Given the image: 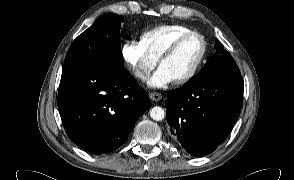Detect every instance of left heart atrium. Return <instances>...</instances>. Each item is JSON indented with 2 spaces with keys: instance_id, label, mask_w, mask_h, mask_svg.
I'll list each match as a JSON object with an SVG mask.
<instances>
[{
  "instance_id": "1",
  "label": "left heart atrium",
  "mask_w": 294,
  "mask_h": 180,
  "mask_svg": "<svg viewBox=\"0 0 294 180\" xmlns=\"http://www.w3.org/2000/svg\"><path fill=\"white\" fill-rule=\"evenodd\" d=\"M173 81L174 80L168 74V72L160 66L153 74V76L149 79L148 85L151 87L161 88L171 84Z\"/></svg>"
}]
</instances>
